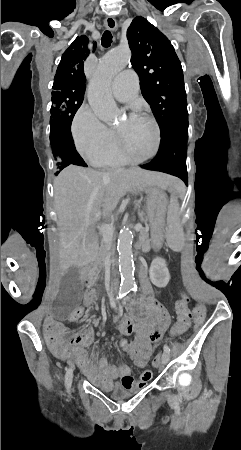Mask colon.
I'll return each mask as SVG.
<instances>
[{
	"label": "colon",
	"instance_id": "colon-1",
	"mask_svg": "<svg viewBox=\"0 0 241 450\" xmlns=\"http://www.w3.org/2000/svg\"><path fill=\"white\" fill-rule=\"evenodd\" d=\"M178 304L176 306V313L179 314V321H173L172 323V329L173 330H183L185 326H189L190 322L192 320V317L195 318L196 325L199 326L202 324L204 320L205 310L203 308V305L201 303H198L193 308V313L190 312V309L187 304V299L181 298L177 301ZM84 310L81 307L76 308L73 313L71 314L70 321L72 323L79 322L81 320V316H83ZM193 314V316H192ZM112 338L115 336L113 333L110 335ZM118 341V344L121 346L123 342L118 337L116 339ZM127 352L130 350L128 347L125 349ZM163 356V351H158V354H155L154 357V363L153 366L157 367L159 362V359ZM132 364L134 366H139L141 364V359L139 357H134L132 359Z\"/></svg>",
	"mask_w": 241,
	"mask_h": 450
}]
</instances>
